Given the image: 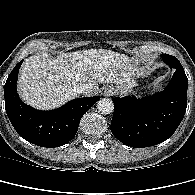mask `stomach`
Here are the masks:
<instances>
[{
  "instance_id": "stomach-1",
  "label": "stomach",
  "mask_w": 195,
  "mask_h": 195,
  "mask_svg": "<svg viewBox=\"0 0 195 195\" xmlns=\"http://www.w3.org/2000/svg\"><path fill=\"white\" fill-rule=\"evenodd\" d=\"M115 90L117 93H121V94L124 93V90L119 88L118 86L115 87Z\"/></svg>"
}]
</instances>
